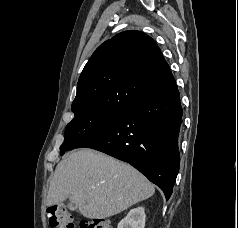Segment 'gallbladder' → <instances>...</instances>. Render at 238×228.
I'll return each mask as SVG.
<instances>
[{
    "instance_id": "1",
    "label": "gallbladder",
    "mask_w": 238,
    "mask_h": 228,
    "mask_svg": "<svg viewBox=\"0 0 238 228\" xmlns=\"http://www.w3.org/2000/svg\"><path fill=\"white\" fill-rule=\"evenodd\" d=\"M69 208H70V210H76L77 206L75 204H70Z\"/></svg>"
}]
</instances>
